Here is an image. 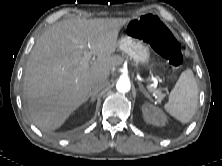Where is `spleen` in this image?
Here are the masks:
<instances>
[{
  "mask_svg": "<svg viewBox=\"0 0 222 166\" xmlns=\"http://www.w3.org/2000/svg\"><path fill=\"white\" fill-rule=\"evenodd\" d=\"M198 103V86L191 69L183 71L170 92L165 110L180 121L188 123L195 115Z\"/></svg>",
  "mask_w": 222,
  "mask_h": 166,
  "instance_id": "spleen-1",
  "label": "spleen"
}]
</instances>
